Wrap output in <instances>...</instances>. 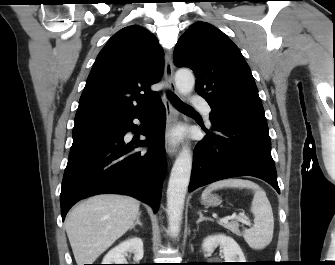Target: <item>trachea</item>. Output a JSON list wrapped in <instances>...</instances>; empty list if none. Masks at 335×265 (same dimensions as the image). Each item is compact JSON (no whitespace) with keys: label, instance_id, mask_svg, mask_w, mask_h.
<instances>
[{"label":"trachea","instance_id":"trachea-1","mask_svg":"<svg viewBox=\"0 0 335 265\" xmlns=\"http://www.w3.org/2000/svg\"><path fill=\"white\" fill-rule=\"evenodd\" d=\"M169 98L171 99L172 103L174 104V106L179 109V110H192V108L188 105H186L185 103H183L182 101H180V99L175 96L174 94H170Z\"/></svg>","mask_w":335,"mask_h":265}]
</instances>
